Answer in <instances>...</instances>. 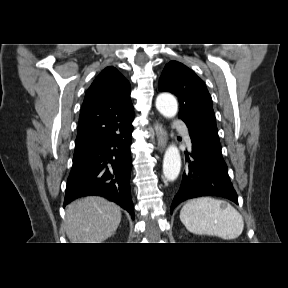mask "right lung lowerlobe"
Wrapping results in <instances>:
<instances>
[{
  "label": "right lung lower lobe",
  "instance_id": "1",
  "mask_svg": "<svg viewBox=\"0 0 288 288\" xmlns=\"http://www.w3.org/2000/svg\"><path fill=\"white\" fill-rule=\"evenodd\" d=\"M132 131L131 125L93 149L74 156L64 206L82 196L98 195L117 203L134 218L130 193Z\"/></svg>",
  "mask_w": 288,
  "mask_h": 288
}]
</instances>
